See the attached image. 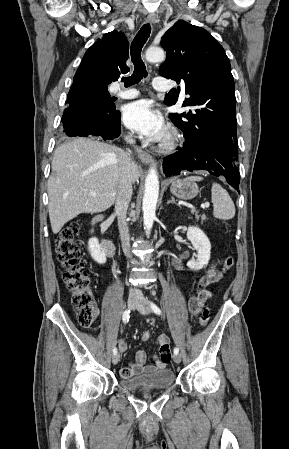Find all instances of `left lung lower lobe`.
I'll use <instances>...</instances> for the list:
<instances>
[{"instance_id": "obj_1", "label": "left lung lower lobe", "mask_w": 289, "mask_h": 449, "mask_svg": "<svg viewBox=\"0 0 289 449\" xmlns=\"http://www.w3.org/2000/svg\"><path fill=\"white\" fill-rule=\"evenodd\" d=\"M172 122L180 128L176 122L173 120ZM182 131L186 134L184 147L164 158L165 175H178L181 171L207 170L214 176H224L239 192L240 174L236 166L238 160L236 137L219 128H207L196 133Z\"/></svg>"}]
</instances>
